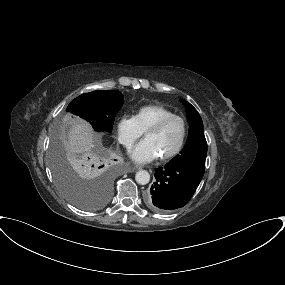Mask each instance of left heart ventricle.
I'll use <instances>...</instances> for the list:
<instances>
[{"instance_id":"left-heart-ventricle-1","label":"left heart ventricle","mask_w":285,"mask_h":285,"mask_svg":"<svg viewBox=\"0 0 285 285\" xmlns=\"http://www.w3.org/2000/svg\"><path fill=\"white\" fill-rule=\"evenodd\" d=\"M182 124L174 119L168 122L161 130L148 133L145 139L149 140L156 149L158 156L172 152L179 144L182 137Z\"/></svg>"}]
</instances>
